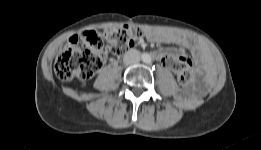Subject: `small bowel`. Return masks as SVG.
I'll list each match as a JSON object with an SVG mask.
<instances>
[{
    "label": "small bowel",
    "mask_w": 261,
    "mask_h": 150,
    "mask_svg": "<svg viewBox=\"0 0 261 150\" xmlns=\"http://www.w3.org/2000/svg\"><path fill=\"white\" fill-rule=\"evenodd\" d=\"M145 37L148 41L153 43L176 44L189 49L192 52L195 59L204 68V70H206L208 74H211L212 63L208 51L203 44L181 34L157 29L146 30ZM172 54H174V52L170 49H161L159 51H155L153 53V56L156 59H160L163 62L167 56Z\"/></svg>",
    "instance_id": "1"
}]
</instances>
